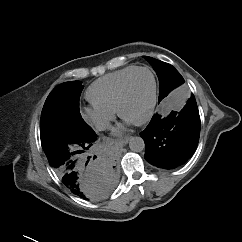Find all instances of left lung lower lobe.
<instances>
[{
    "label": "left lung lower lobe",
    "mask_w": 242,
    "mask_h": 242,
    "mask_svg": "<svg viewBox=\"0 0 242 242\" xmlns=\"http://www.w3.org/2000/svg\"><path fill=\"white\" fill-rule=\"evenodd\" d=\"M200 116L192 95L180 112L166 118L156 114L140 133L145 142V159L154 166L174 169L188 161L200 136Z\"/></svg>",
    "instance_id": "left-lung-lower-lobe-1"
}]
</instances>
